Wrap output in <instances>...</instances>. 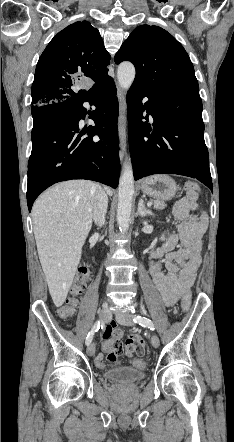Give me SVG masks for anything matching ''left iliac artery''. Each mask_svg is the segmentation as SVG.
Instances as JSON below:
<instances>
[{
  "instance_id": "1",
  "label": "left iliac artery",
  "mask_w": 234,
  "mask_h": 442,
  "mask_svg": "<svg viewBox=\"0 0 234 442\" xmlns=\"http://www.w3.org/2000/svg\"><path fill=\"white\" fill-rule=\"evenodd\" d=\"M133 321L143 327H148L152 331L155 330V326H154L153 322L146 317L135 315L133 318Z\"/></svg>"
}]
</instances>
